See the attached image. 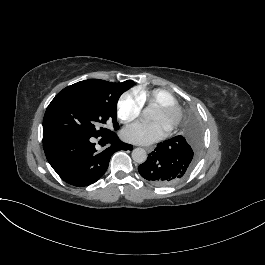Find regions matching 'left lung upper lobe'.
Listing matches in <instances>:
<instances>
[{"label": "left lung upper lobe", "mask_w": 265, "mask_h": 265, "mask_svg": "<svg viewBox=\"0 0 265 265\" xmlns=\"http://www.w3.org/2000/svg\"><path fill=\"white\" fill-rule=\"evenodd\" d=\"M191 119H194V118H191ZM189 133H190V131H189V125H188L187 130L184 132V136L188 137ZM200 145H201V137H200Z\"/></svg>", "instance_id": "left-lung-upper-lobe-1"}]
</instances>
